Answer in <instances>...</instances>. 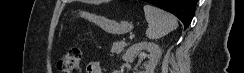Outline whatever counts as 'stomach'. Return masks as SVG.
I'll return each instance as SVG.
<instances>
[{
	"instance_id": "stomach-1",
	"label": "stomach",
	"mask_w": 244,
	"mask_h": 73,
	"mask_svg": "<svg viewBox=\"0 0 244 73\" xmlns=\"http://www.w3.org/2000/svg\"><path fill=\"white\" fill-rule=\"evenodd\" d=\"M79 15L86 18L96 25L101 27L104 31L110 34L120 35L130 32L133 29L132 23L125 20H114L105 16L94 13L80 12Z\"/></svg>"
}]
</instances>
